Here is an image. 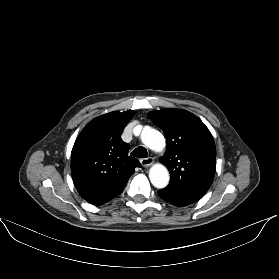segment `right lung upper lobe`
Returning a JSON list of instances; mask_svg holds the SVG:
<instances>
[{
  "mask_svg": "<svg viewBox=\"0 0 279 279\" xmlns=\"http://www.w3.org/2000/svg\"><path fill=\"white\" fill-rule=\"evenodd\" d=\"M135 112L114 111L101 115L81 131L71 152V173L80 196L104 204L125 187L140 162L128 156L129 144L121 134Z\"/></svg>",
  "mask_w": 279,
  "mask_h": 279,
  "instance_id": "obj_1",
  "label": "right lung upper lobe"
}]
</instances>
